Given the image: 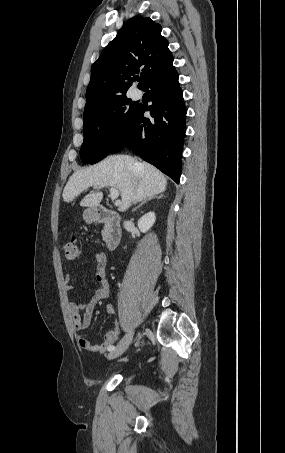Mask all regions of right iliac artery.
Instances as JSON below:
<instances>
[{
	"label": "right iliac artery",
	"mask_w": 285,
	"mask_h": 453,
	"mask_svg": "<svg viewBox=\"0 0 285 453\" xmlns=\"http://www.w3.org/2000/svg\"><path fill=\"white\" fill-rule=\"evenodd\" d=\"M113 349H115L114 346H111V347L108 348L109 351H112Z\"/></svg>",
	"instance_id": "right-iliac-artery-1"
}]
</instances>
